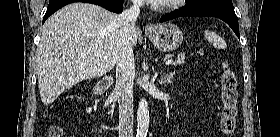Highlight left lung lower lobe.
Masks as SVG:
<instances>
[{"label": "left lung lower lobe", "instance_id": "0a47b994", "mask_svg": "<svg viewBox=\"0 0 280 137\" xmlns=\"http://www.w3.org/2000/svg\"><path fill=\"white\" fill-rule=\"evenodd\" d=\"M194 16V17H216L226 22L232 30L235 32L237 37L240 39L238 18L234 12L232 6L223 4H207L198 6H189L181 8L170 14L163 15L160 18V22H165L178 17Z\"/></svg>", "mask_w": 280, "mask_h": 137}]
</instances>
